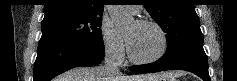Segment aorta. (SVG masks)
Returning <instances> with one entry per match:
<instances>
[{
    "label": "aorta",
    "mask_w": 237,
    "mask_h": 81,
    "mask_svg": "<svg viewBox=\"0 0 237 81\" xmlns=\"http://www.w3.org/2000/svg\"><path fill=\"white\" fill-rule=\"evenodd\" d=\"M108 12L117 31H124L134 23L133 16L123 5H111Z\"/></svg>",
    "instance_id": "aorta-1"
}]
</instances>
